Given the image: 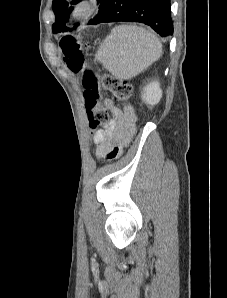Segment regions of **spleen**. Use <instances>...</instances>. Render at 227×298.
<instances>
[{
  "instance_id": "obj_1",
  "label": "spleen",
  "mask_w": 227,
  "mask_h": 298,
  "mask_svg": "<svg viewBox=\"0 0 227 298\" xmlns=\"http://www.w3.org/2000/svg\"><path fill=\"white\" fill-rule=\"evenodd\" d=\"M162 43L136 25H119L99 46L95 58L118 79H132L157 61Z\"/></svg>"
}]
</instances>
